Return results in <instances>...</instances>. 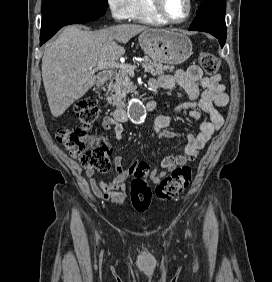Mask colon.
<instances>
[{
	"label": "colon",
	"instance_id": "colon-1",
	"mask_svg": "<svg viewBox=\"0 0 272 282\" xmlns=\"http://www.w3.org/2000/svg\"><path fill=\"white\" fill-rule=\"evenodd\" d=\"M198 61L204 71L210 75L216 74L219 70V61L211 53L201 52ZM73 110L79 124L72 127H58L55 131L56 140L85 169L102 173L109 171L110 145L103 138H94L89 134L98 118L97 103L90 98L81 99L74 104ZM131 171L133 175L130 184L131 202L137 211L144 212L153 201L152 191L143 180L146 169L133 167ZM191 179L190 167L175 168L156 186V201L163 203L176 198L189 186Z\"/></svg>",
	"mask_w": 272,
	"mask_h": 282
}]
</instances>
